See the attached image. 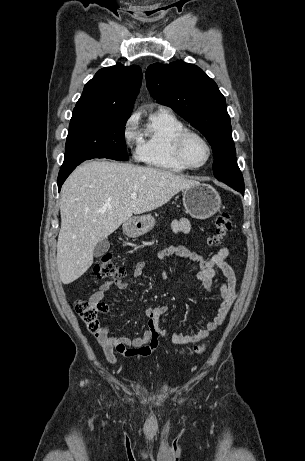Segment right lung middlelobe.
Returning a JSON list of instances; mask_svg holds the SVG:
<instances>
[{
    "label": "right lung middle lobe",
    "instance_id": "obj_1",
    "mask_svg": "<svg viewBox=\"0 0 305 461\" xmlns=\"http://www.w3.org/2000/svg\"><path fill=\"white\" fill-rule=\"evenodd\" d=\"M129 117L73 111L62 167L92 158L128 160L124 129Z\"/></svg>",
    "mask_w": 305,
    "mask_h": 461
}]
</instances>
